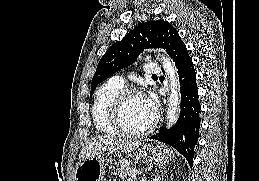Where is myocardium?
<instances>
[{
  "mask_svg": "<svg viewBox=\"0 0 259 181\" xmlns=\"http://www.w3.org/2000/svg\"><path fill=\"white\" fill-rule=\"evenodd\" d=\"M137 96H142V93L138 89H135V88L123 89L114 99L112 108H111V116H112L113 124L115 125V127L120 133L128 137H139V136L145 135L151 132L158 123V115L156 114L153 120L151 121V123L142 129L132 130L127 128L124 125V122H123L124 106L130 98L137 97Z\"/></svg>",
  "mask_w": 259,
  "mask_h": 181,
  "instance_id": "myocardium-1",
  "label": "myocardium"
}]
</instances>
